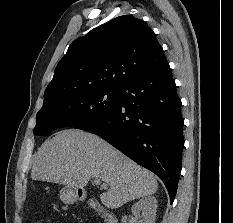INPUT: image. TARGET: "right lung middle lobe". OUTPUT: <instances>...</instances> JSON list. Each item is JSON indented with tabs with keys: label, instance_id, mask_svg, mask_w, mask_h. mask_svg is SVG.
Listing matches in <instances>:
<instances>
[{
	"label": "right lung middle lobe",
	"instance_id": "obj_1",
	"mask_svg": "<svg viewBox=\"0 0 233 223\" xmlns=\"http://www.w3.org/2000/svg\"><path fill=\"white\" fill-rule=\"evenodd\" d=\"M119 92V88L98 87L45 103L36 115L34 134L46 135L62 127L79 128L114 110Z\"/></svg>",
	"mask_w": 233,
	"mask_h": 223
}]
</instances>
